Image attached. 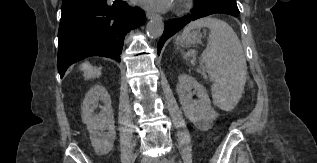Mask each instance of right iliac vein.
<instances>
[{"label": "right iliac vein", "mask_w": 317, "mask_h": 163, "mask_svg": "<svg viewBox=\"0 0 317 163\" xmlns=\"http://www.w3.org/2000/svg\"><path fill=\"white\" fill-rule=\"evenodd\" d=\"M141 163H150L147 159H143Z\"/></svg>", "instance_id": "1"}]
</instances>
